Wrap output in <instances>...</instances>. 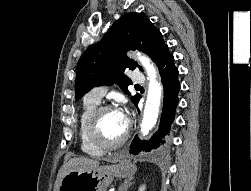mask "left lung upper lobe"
Returning a JSON list of instances; mask_svg holds the SVG:
<instances>
[{
  "label": "left lung upper lobe",
  "instance_id": "left-lung-upper-lobe-1",
  "mask_svg": "<svg viewBox=\"0 0 251 191\" xmlns=\"http://www.w3.org/2000/svg\"><path fill=\"white\" fill-rule=\"evenodd\" d=\"M138 49L145 52L154 62L168 50L161 32L140 13H127L120 17L103 38L91 45L80 57L76 70V99H80L99 84L116 82L129 94L130 80L124 71L142 68L126 57L128 50ZM140 98L135 95L131 100L136 103Z\"/></svg>",
  "mask_w": 251,
  "mask_h": 191
}]
</instances>
